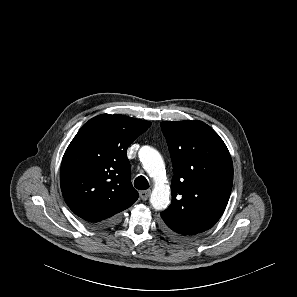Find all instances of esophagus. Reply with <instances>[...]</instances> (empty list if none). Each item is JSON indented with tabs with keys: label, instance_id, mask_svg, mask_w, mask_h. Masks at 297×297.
Masks as SVG:
<instances>
[{
	"label": "esophagus",
	"instance_id": "esophagus-1",
	"mask_svg": "<svg viewBox=\"0 0 297 297\" xmlns=\"http://www.w3.org/2000/svg\"><path fill=\"white\" fill-rule=\"evenodd\" d=\"M151 194V190L140 191V197L142 200H147Z\"/></svg>",
	"mask_w": 297,
	"mask_h": 297
}]
</instances>
